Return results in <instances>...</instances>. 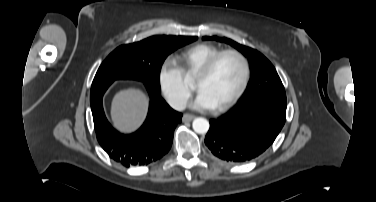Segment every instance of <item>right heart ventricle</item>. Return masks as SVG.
Instances as JSON below:
<instances>
[{"mask_svg": "<svg viewBox=\"0 0 376 202\" xmlns=\"http://www.w3.org/2000/svg\"><path fill=\"white\" fill-rule=\"evenodd\" d=\"M220 51L216 45L200 43L177 53L173 61L185 78L192 79L206 61Z\"/></svg>", "mask_w": 376, "mask_h": 202, "instance_id": "e07e8e85", "label": "right heart ventricle"}]
</instances>
